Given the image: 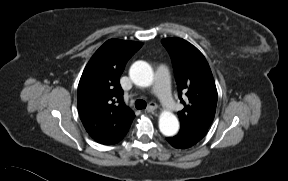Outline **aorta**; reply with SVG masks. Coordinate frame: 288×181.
<instances>
[{
    "mask_svg": "<svg viewBox=\"0 0 288 181\" xmlns=\"http://www.w3.org/2000/svg\"><path fill=\"white\" fill-rule=\"evenodd\" d=\"M153 70L145 61H137L130 68V78L135 85L148 87L153 83ZM159 129L165 136H173L179 130V121L170 111H163L159 117Z\"/></svg>",
    "mask_w": 288,
    "mask_h": 181,
    "instance_id": "obj_1",
    "label": "aorta"
}]
</instances>
